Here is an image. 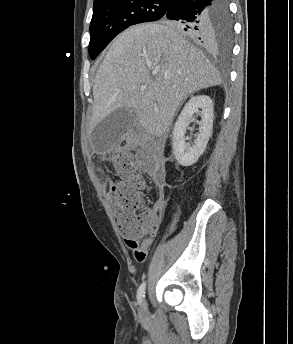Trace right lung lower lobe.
<instances>
[{
  "mask_svg": "<svg viewBox=\"0 0 293 344\" xmlns=\"http://www.w3.org/2000/svg\"><path fill=\"white\" fill-rule=\"evenodd\" d=\"M218 0H171L163 20H173L176 27L205 47L213 45L211 27ZM211 44V45H209Z\"/></svg>",
  "mask_w": 293,
  "mask_h": 344,
  "instance_id": "obj_1",
  "label": "right lung lower lobe"
}]
</instances>
